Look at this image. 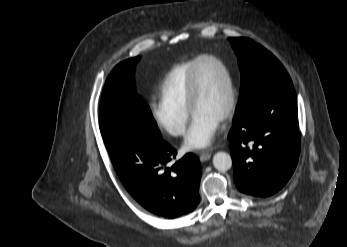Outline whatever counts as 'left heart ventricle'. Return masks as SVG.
<instances>
[{"label": "left heart ventricle", "instance_id": "obj_1", "mask_svg": "<svg viewBox=\"0 0 347 247\" xmlns=\"http://www.w3.org/2000/svg\"><path fill=\"white\" fill-rule=\"evenodd\" d=\"M199 95L194 114L221 120L228 103V84L219 65L204 61L198 69Z\"/></svg>", "mask_w": 347, "mask_h": 247}]
</instances>
